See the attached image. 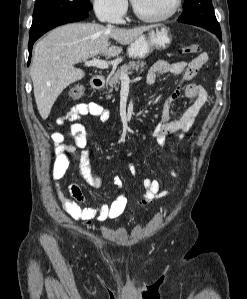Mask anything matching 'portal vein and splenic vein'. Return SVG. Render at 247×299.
<instances>
[{
	"instance_id": "1",
	"label": "portal vein and splenic vein",
	"mask_w": 247,
	"mask_h": 299,
	"mask_svg": "<svg viewBox=\"0 0 247 299\" xmlns=\"http://www.w3.org/2000/svg\"><path fill=\"white\" fill-rule=\"evenodd\" d=\"M84 66L86 67L94 66L100 69H108L109 64L105 60H101L94 57L92 60L85 61ZM121 80H129L128 74L122 73Z\"/></svg>"
}]
</instances>
